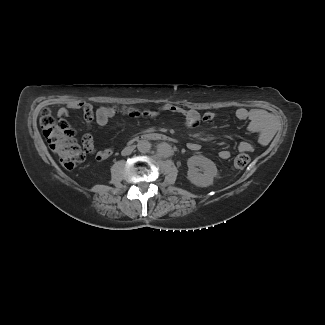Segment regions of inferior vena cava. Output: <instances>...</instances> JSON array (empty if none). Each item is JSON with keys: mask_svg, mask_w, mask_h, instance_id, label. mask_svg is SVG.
Masks as SVG:
<instances>
[{"mask_svg": "<svg viewBox=\"0 0 325 325\" xmlns=\"http://www.w3.org/2000/svg\"><path fill=\"white\" fill-rule=\"evenodd\" d=\"M132 151H133V147L128 146V147H125V148L122 150L121 154H122L123 156L130 155V154L132 153Z\"/></svg>", "mask_w": 325, "mask_h": 325, "instance_id": "1", "label": "inferior vena cava"}]
</instances>
